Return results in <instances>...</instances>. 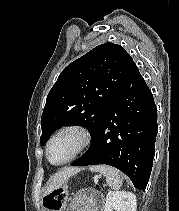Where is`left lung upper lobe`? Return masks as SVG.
<instances>
[{"label": "left lung upper lobe", "mask_w": 179, "mask_h": 211, "mask_svg": "<svg viewBox=\"0 0 179 211\" xmlns=\"http://www.w3.org/2000/svg\"><path fill=\"white\" fill-rule=\"evenodd\" d=\"M132 64L123 47L113 43L99 45L70 63L47 96L40 143L44 145L57 128L70 123L89 128L93 139Z\"/></svg>", "instance_id": "5c2ea615"}]
</instances>
